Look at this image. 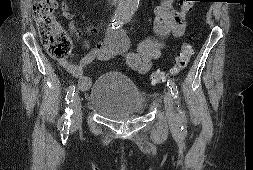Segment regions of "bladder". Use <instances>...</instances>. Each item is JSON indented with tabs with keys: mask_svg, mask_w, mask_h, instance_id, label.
<instances>
[{
	"mask_svg": "<svg viewBox=\"0 0 253 170\" xmlns=\"http://www.w3.org/2000/svg\"><path fill=\"white\" fill-rule=\"evenodd\" d=\"M88 104L109 119L122 120L141 114L147 106V100L127 75L106 71L94 81Z\"/></svg>",
	"mask_w": 253,
	"mask_h": 170,
	"instance_id": "31cf9c89",
	"label": "bladder"
}]
</instances>
